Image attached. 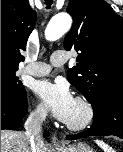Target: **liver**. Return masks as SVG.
Segmentation results:
<instances>
[{"mask_svg": "<svg viewBox=\"0 0 123 152\" xmlns=\"http://www.w3.org/2000/svg\"><path fill=\"white\" fill-rule=\"evenodd\" d=\"M30 143L24 132L1 130V152H30ZM37 152H48L44 142L37 143Z\"/></svg>", "mask_w": 123, "mask_h": 152, "instance_id": "1", "label": "liver"}]
</instances>
